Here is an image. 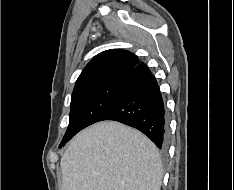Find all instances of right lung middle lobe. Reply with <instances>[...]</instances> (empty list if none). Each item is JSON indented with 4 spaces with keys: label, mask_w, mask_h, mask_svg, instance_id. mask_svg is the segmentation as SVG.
I'll return each mask as SVG.
<instances>
[{
    "label": "right lung middle lobe",
    "mask_w": 234,
    "mask_h": 190,
    "mask_svg": "<svg viewBox=\"0 0 234 190\" xmlns=\"http://www.w3.org/2000/svg\"><path fill=\"white\" fill-rule=\"evenodd\" d=\"M123 82V78L115 79L72 94L69 126L59 147L80 130L99 121L115 102Z\"/></svg>",
    "instance_id": "obj_1"
}]
</instances>
